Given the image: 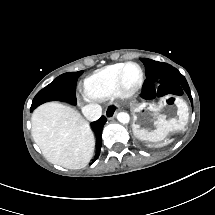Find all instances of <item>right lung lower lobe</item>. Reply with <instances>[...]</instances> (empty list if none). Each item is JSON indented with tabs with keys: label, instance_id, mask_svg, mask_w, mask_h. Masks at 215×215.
Returning <instances> with one entry per match:
<instances>
[{
	"label": "right lung lower lobe",
	"instance_id": "1",
	"mask_svg": "<svg viewBox=\"0 0 215 215\" xmlns=\"http://www.w3.org/2000/svg\"><path fill=\"white\" fill-rule=\"evenodd\" d=\"M106 121H107L106 117L102 116L99 120L91 123V126H92V128L96 134V138H97L96 154H95V157L92 160V162H94L100 155V149H101V143H102L101 134H102L103 126Z\"/></svg>",
	"mask_w": 215,
	"mask_h": 215
}]
</instances>
